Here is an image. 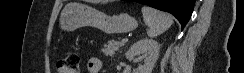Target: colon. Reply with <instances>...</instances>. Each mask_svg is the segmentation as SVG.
<instances>
[{
	"label": "colon",
	"mask_w": 244,
	"mask_h": 73,
	"mask_svg": "<svg viewBox=\"0 0 244 73\" xmlns=\"http://www.w3.org/2000/svg\"><path fill=\"white\" fill-rule=\"evenodd\" d=\"M80 55L77 52H70L57 62L59 73H79Z\"/></svg>",
	"instance_id": "1"
}]
</instances>
